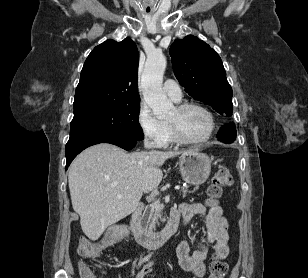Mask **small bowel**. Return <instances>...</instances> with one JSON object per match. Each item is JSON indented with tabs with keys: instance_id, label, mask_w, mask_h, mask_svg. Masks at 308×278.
I'll return each mask as SVG.
<instances>
[{
	"instance_id": "c3829d8e",
	"label": "small bowel",
	"mask_w": 308,
	"mask_h": 278,
	"mask_svg": "<svg viewBox=\"0 0 308 278\" xmlns=\"http://www.w3.org/2000/svg\"><path fill=\"white\" fill-rule=\"evenodd\" d=\"M208 208L198 202L182 203L174 211L188 224L194 215L203 217L205 233L198 242L196 249L191 253L186 239L182 240L176 249L179 265L193 274L194 278H202L205 274V259L209 244H215L216 254L225 259L229 252L228 222L223 216L222 208L217 204L207 202ZM152 272V262L144 265L135 278H147ZM103 278V277H95Z\"/></svg>"
}]
</instances>
